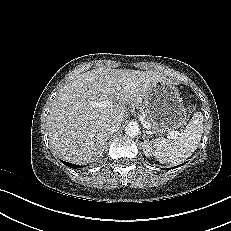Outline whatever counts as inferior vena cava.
<instances>
[{"label":"inferior vena cava","mask_w":231,"mask_h":231,"mask_svg":"<svg viewBox=\"0 0 231 231\" xmlns=\"http://www.w3.org/2000/svg\"><path fill=\"white\" fill-rule=\"evenodd\" d=\"M120 128V122L115 120L106 125V130L108 133L112 134Z\"/></svg>","instance_id":"inferior-vena-cava-1"}]
</instances>
